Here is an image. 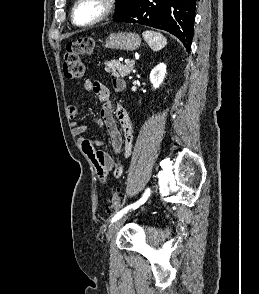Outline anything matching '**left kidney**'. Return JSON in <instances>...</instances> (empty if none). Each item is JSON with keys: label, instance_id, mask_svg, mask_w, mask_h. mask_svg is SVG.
Listing matches in <instances>:
<instances>
[{"label": "left kidney", "instance_id": "5707ae66", "mask_svg": "<svg viewBox=\"0 0 259 294\" xmlns=\"http://www.w3.org/2000/svg\"><path fill=\"white\" fill-rule=\"evenodd\" d=\"M166 76V65L164 63H160L155 66L150 73V82L152 83L154 89L160 87L163 83L164 78Z\"/></svg>", "mask_w": 259, "mask_h": 294}]
</instances>
